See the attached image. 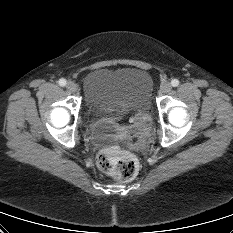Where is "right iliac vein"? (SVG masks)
<instances>
[{
  "instance_id": "1",
  "label": "right iliac vein",
  "mask_w": 233,
  "mask_h": 233,
  "mask_svg": "<svg viewBox=\"0 0 233 233\" xmlns=\"http://www.w3.org/2000/svg\"><path fill=\"white\" fill-rule=\"evenodd\" d=\"M68 91L75 93L77 91V84L73 81H69L66 85Z\"/></svg>"
}]
</instances>
